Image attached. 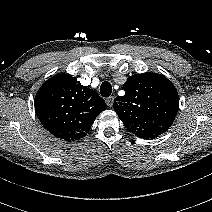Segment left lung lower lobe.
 <instances>
[{
	"label": "left lung lower lobe",
	"mask_w": 212,
	"mask_h": 212,
	"mask_svg": "<svg viewBox=\"0 0 212 212\" xmlns=\"http://www.w3.org/2000/svg\"><path fill=\"white\" fill-rule=\"evenodd\" d=\"M155 137H157V135L151 136L150 138H155ZM147 139H148V138H147Z\"/></svg>",
	"instance_id": "left-lung-lower-lobe-1"
}]
</instances>
